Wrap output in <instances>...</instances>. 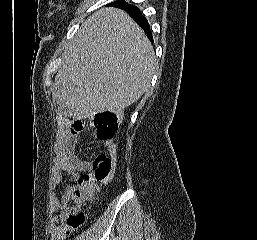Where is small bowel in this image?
Listing matches in <instances>:
<instances>
[{
	"label": "small bowel",
	"instance_id": "obj_1",
	"mask_svg": "<svg viewBox=\"0 0 257 240\" xmlns=\"http://www.w3.org/2000/svg\"><path fill=\"white\" fill-rule=\"evenodd\" d=\"M80 134L71 132L67 127H61L56 144L55 160L53 166V184L55 187L62 182L64 175H70L78 180L81 173H86L91 169V163L84 161L75 155L74 150ZM103 146L108 150L112 157L116 155V145L112 139L103 141ZM72 186L65 188L63 197L71 190ZM60 203L54 199L50 207V222L48 232L51 240H64L72 232V229L64 222L59 215Z\"/></svg>",
	"mask_w": 257,
	"mask_h": 240
}]
</instances>
